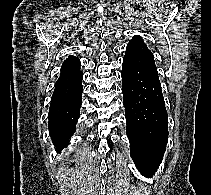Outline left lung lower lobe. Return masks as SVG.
<instances>
[{"label": "left lung lower lobe", "instance_id": "left-lung-lower-lobe-1", "mask_svg": "<svg viewBox=\"0 0 211 195\" xmlns=\"http://www.w3.org/2000/svg\"><path fill=\"white\" fill-rule=\"evenodd\" d=\"M121 76L131 156L141 174H154L168 142V116L157 68L124 57Z\"/></svg>", "mask_w": 211, "mask_h": 195}]
</instances>
